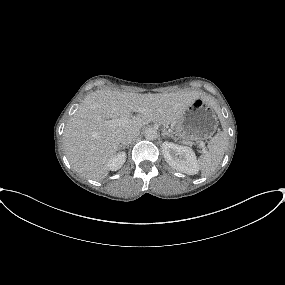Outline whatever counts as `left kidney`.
Segmentation results:
<instances>
[{"mask_svg": "<svg viewBox=\"0 0 285 285\" xmlns=\"http://www.w3.org/2000/svg\"><path fill=\"white\" fill-rule=\"evenodd\" d=\"M162 153L165 161L174 169L188 175L198 173L197 158L190 147L165 141L162 144Z\"/></svg>", "mask_w": 285, "mask_h": 285, "instance_id": "left-kidney-1", "label": "left kidney"}]
</instances>
